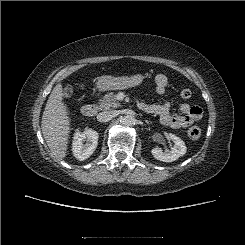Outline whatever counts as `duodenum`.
Instances as JSON below:
<instances>
[{
    "mask_svg": "<svg viewBox=\"0 0 245 245\" xmlns=\"http://www.w3.org/2000/svg\"><path fill=\"white\" fill-rule=\"evenodd\" d=\"M96 112H97V108L91 104L84 105L81 109V114L84 117H92L96 114Z\"/></svg>",
    "mask_w": 245,
    "mask_h": 245,
    "instance_id": "duodenum-1",
    "label": "duodenum"
}]
</instances>
